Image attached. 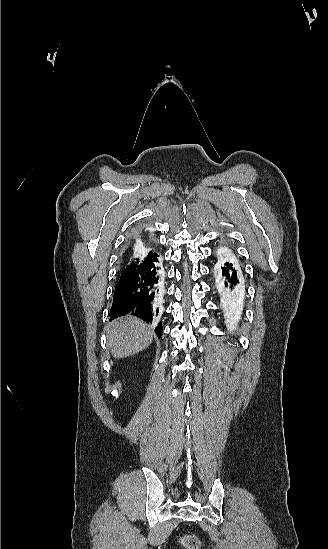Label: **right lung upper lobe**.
<instances>
[{"instance_id":"right-lung-upper-lobe-1","label":"right lung upper lobe","mask_w":328,"mask_h":549,"mask_svg":"<svg viewBox=\"0 0 328 549\" xmlns=\"http://www.w3.org/2000/svg\"><path fill=\"white\" fill-rule=\"evenodd\" d=\"M135 235V241L131 243L130 251L122 262L121 274L124 275L137 268L142 261L157 255L154 238L148 229L138 230Z\"/></svg>"}]
</instances>
